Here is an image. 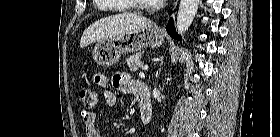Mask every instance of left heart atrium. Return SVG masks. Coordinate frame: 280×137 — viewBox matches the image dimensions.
<instances>
[{"mask_svg": "<svg viewBox=\"0 0 280 137\" xmlns=\"http://www.w3.org/2000/svg\"><path fill=\"white\" fill-rule=\"evenodd\" d=\"M152 4L163 5L166 0H149Z\"/></svg>", "mask_w": 280, "mask_h": 137, "instance_id": "1", "label": "left heart atrium"}]
</instances>
